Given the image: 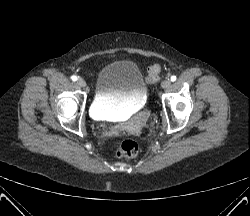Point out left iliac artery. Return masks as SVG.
<instances>
[{"mask_svg": "<svg viewBox=\"0 0 250 216\" xmlns=\"http://www.w3.org/2000/svg\"><path fill=\"white\" fill-rule=\"evenodd\" d=\"M176 79H177V78H176L175 75L171 76V81H172V82L176 81Z\"/></svg>", "mask_w": 250, "mask_h": 216, "instance_id": "obj_1", "label": "left iliac artery"}]
</instances>
